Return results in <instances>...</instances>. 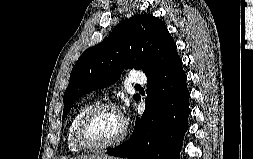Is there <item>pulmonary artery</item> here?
I'll use <instances>...</instances> for the list:
<instances>
[{
    "label": "pulmonary artery",
    "instance_id": "1",
    "mask_svg": "<svg viewBox=\"0 0 253 159\" xmlns=\"http://www.w3.org/2000/svg\"><path fill=\"white\" fill-rule=\"evenodd\" d=\"M130 82L133 85H144L147 82V78L144 72L142 71H134L130 75Z\"/></svg>",
    "mask_w": 253,
    "mask_h": 159
}]
</instances>
